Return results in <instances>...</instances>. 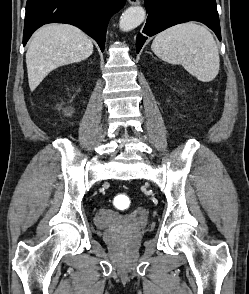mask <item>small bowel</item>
I'll return each instance as SVG.
<instances>
[{"label":"small bowel","instance_id":"c3829d8e","mask_svg":"<svg viewBox=\"0 0 249 294\" xmlns=\"http://www.w3.org/2000/svg\"><path fill=\"white\" fill-rule=\"evenodd\" d=\"M101 217H105V216H111V213L110 211H108L107 209H102L101 210V214H100Z\"/></svg>","mask_w":249,"mask_h":294}]
</instances>
